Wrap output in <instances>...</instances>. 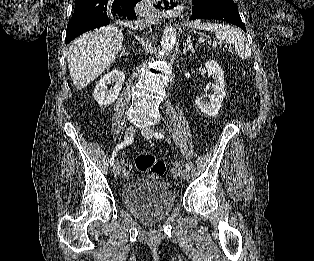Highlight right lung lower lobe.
Masks as SVG:
<instances>
[{
  "label": "right lung lower lobe",
  "mask_w": 314,
  "mask_h": 261,
  "mask_svg": "<svg viewBox=\"0 0 314 261\" xmlns=\"http://www.w3.org/2000/svg\"><path fill=\"white\" fill-rule=\"evenodd\" d=\"M140 0H123L117 9V20L136 19L134 7ZM108 0H75L74 13L67 25L65 43H70L82 33L110 23ZM114 11V5L111 12ZM108 13V14H107Z\"/></svg>",
  "instance_id": "right-lung-lower-lobe-1"
}]
</instances>
